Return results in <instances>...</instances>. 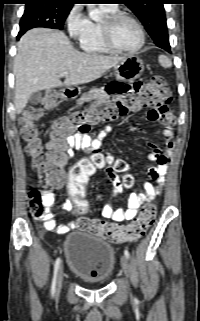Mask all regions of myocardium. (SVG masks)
<instances>
[{
	"label": "myocardium",
	"instance_id": "1",
	"mask_svg": "<svg viewBox=\"0 0 200 321\" xmlns=\"http://www.w3.org/2000/svg\"><path fill=\"white\" fill-rule=\"evenodd\" d=\"M129 19L131 20L137 27L139 34H140V42L137 47L132 50H123L120 49L114 41L113 30L116 23L121 19ZM101 33L104 44L106 47L113 53L121 54V55H133L138 53L146 43V35L144 28L140 21L133 16L132 14L124 11H117L115 13H111L107 15L105 21L101 23Z\"/></svg>",
	"mask_w": 200,
	"mask_h": 321
}]
</instances>
